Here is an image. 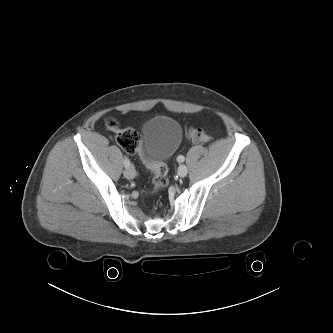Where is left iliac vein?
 I'll use <instances>...</instances> for the list:
<instances>
[{"label": "left iliac vein", "mask_w": 333, "mask_h": 333, "mask_svg": "<svg viewBox=\"0 0 333 333\" xmlns=\"http://www.w3.org/2000/svg\"><path fill=\"white\" fill-rule=\"evenodd\" d=\"M178 175L180 177H185L188 173V169L186 167V165L184 164H181L179 167H178V171H177Z\"/></svg>", "instance_id": "1"}]
</instances>
